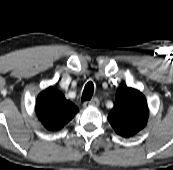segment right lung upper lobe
I'll use <instances>...</instances> for the list:
<instances>
[{"mask_svg":"<svg viewBox=\"0 0 173 170\" xmlns=\"http://www.w3.org/2000/svg\"><path fill=\"white\" fill-rule=\"evenodd\" d=\"M35 111L43 126L55 131L64 127L78 112V108L59 90L50 86L38 95Z\"/></svg>","mask_w":173,"mask_h":170,"instance_id":"1","label":"right lung upper lobe"}]
</instances>
